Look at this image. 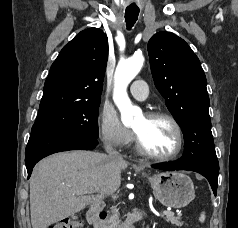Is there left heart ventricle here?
<instances>
[{
    "label": "left heart ventricle",
    "instance_id": "b2bd125f",
    "mask_svg": "<svg viewBox=\"0 0 238 228\" xmlns=\"http://www.w3.org/2000/svg\"><path fill=\"white\" fill-rule=\"evenodd\" d=\"M145 149L155 155H168L176 147V133L165 119L139 117L133 125Z\"/></svg>",
    "mask_w": 238,
    "mask_h": 228
}]
</instances>
